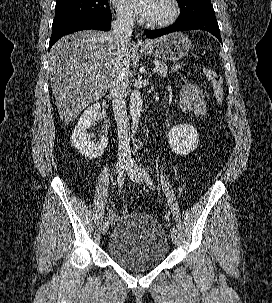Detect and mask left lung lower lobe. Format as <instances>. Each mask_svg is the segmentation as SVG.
I'll use <instances>...</instances> for the list:
<instances>
[{
	"instance_id": "0a47b994",
	"label": "left lung lower lobe",
	"mask_w": 272,
	"mask_h": 303,
	"mask_svg": "<svg viewBox=\"0 0 272 303\" xmlns=\"http://www.w3.org/2000/svg\"><path fill=\"white\" fill-rule=\"evenodd\" d=\"M205 30L213 34L222 43L220 30L215 17L177 21L169 27L160 30H145L147 38H156L168 33L186 30Z\"/></svg>"
}]
</instances>
